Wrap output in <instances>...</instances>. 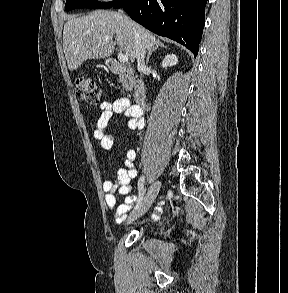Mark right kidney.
<instances>
[{
  "mask_svg": "<svg viewBox=\"0 0 288 293\" xmlns=\"http://www.w3.org/2000/svg\"><path fill=\"white\" fill-rule=\"evenodd\" d=\"M178 63V58L175 54H169L166 55L165 58L162 61V67L167 68L171 67L173 65H176Z\"/></svg>",
  "mask_w": 288,
  "mask_h": 293,
  "instance_id": "obj_1",
  "label": "right kidney"
}]
</instances>
